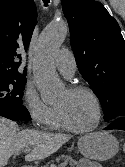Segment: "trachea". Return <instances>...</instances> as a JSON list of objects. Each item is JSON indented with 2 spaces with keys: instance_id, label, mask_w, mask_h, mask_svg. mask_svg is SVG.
I'll list each match as a JSON object with an SVG mask.
<instances>
[{
  "instance_id": "1",
  "label": "trachea",
  "mask_w": 125,
  "mask_h": 167,
  "mask_svg": "<svg viewBox=\"0 0 125 167\" xmlns=\"http://www.w3.org/2000/svg\"><path fill=\"white\" fill-rule=\"evenodd\" d=\"M43 2L45 3V5H47L49 3V0H43Z\"/></svg>"
}]
</instances>
